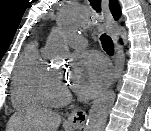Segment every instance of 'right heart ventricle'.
Instances as JSON below:
<instances>
[{
  "mask_svg": "<svg viewBox=\"0 0 151 131\" xmlns=\"http://www.w3.org/2000/svg\"><path fill=\"white\" fill-rule=\"evenodd\" d=\"M48 70L49 66L42 58L37 42L29 43L14 73L11 99L15 107L29 108L44 103L40 87Z\"/></svg>",
  "mask_w": 151,
  "mask_h": 131,
  "instance_id": "obj_1",
  "label": "right heart ventricle"
}]
</instances>
